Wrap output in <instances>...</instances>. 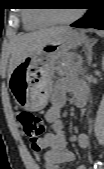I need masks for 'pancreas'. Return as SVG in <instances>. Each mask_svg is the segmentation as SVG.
Segmentation results:
<instances>
[{
    "label": "pancreas",
    "mask_w": 104,
    "mask_h": 169,
    "mask_svg": "<svg viewBox=\"0 0 104 169\" xmlns=\"http://www.w3.org/2000/svg\"><path fill=\"white\" fill-rule=\"evenodd\" d=\"M82 72V61L72 53L65 54L62 58V67L59 69L61 76L76 75Z\"/></svg>",
    "instance_id": "obj_1"
}]
</instances>
